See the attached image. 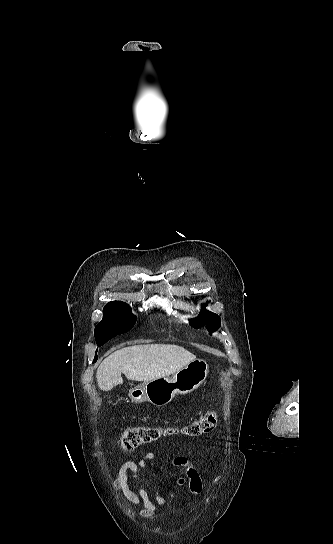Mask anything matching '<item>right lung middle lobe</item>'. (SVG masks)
Instances as JSON below:
<instances>
[{
    "label": "right lung middle lobe",
    "instance_id": "dd1d6c3e",
    "mask_svg": "<svg viewBox=\"0 0 333 544\" xmlns=\"http://www.w3.org/2000/svg\"><path fill=\"white\" fill-rule=\"evenodd\" d=\"M136 316L131 313L126 303H110L104 307L103 319L95 327V339L98 347L111 338L128 332L136 322ZM97 360V355L94 362Z\"/></svg>",
    "mask_w": 333,
    "mask_h": 544
}]
</instances>
